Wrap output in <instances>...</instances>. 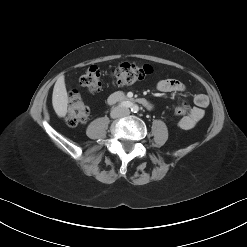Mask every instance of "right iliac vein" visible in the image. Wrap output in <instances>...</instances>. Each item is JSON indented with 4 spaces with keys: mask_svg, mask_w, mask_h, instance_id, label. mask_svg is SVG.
Instances as JSON below:
<instances>
[{
    "mask_svg": "<svg viewBox=\"0 0 247 247\" xmlns=\"http://www.w3.org/2000/svg\"><path fill=\"white\" fill-rule=\"evenodd\" d=\"M115 116H116V114H115V113H113V114H112V117H115Z\"/></svg>",
    "mask_w": 247,
    "mask_h": 247,
    "instance_id": "obj_1",
    "label": "right iliac vein"
}]
</instances>
